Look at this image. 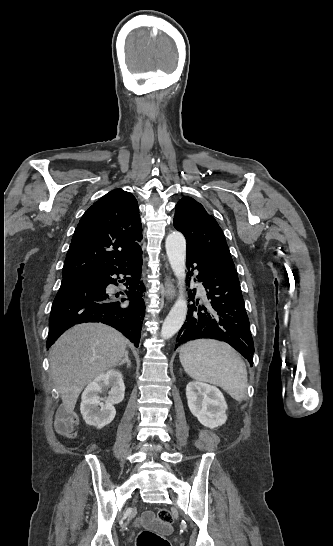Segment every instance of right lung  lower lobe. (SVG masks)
<instances>
[{
	"label": "right lung lower lobe",
	"mask_w": 333,
	"mask_h": 546,
	"mask_svg": "<svg viewBox=\"0 0 333 546\" xmlns=\"http://www.w3.org/2000/svg\"><path fill=\"white\" fill-rule=\"evenodd\" d=\"M141 267L142 253L121 267L62 281L50 312L47 347L68 328L86 322L110 325L138 347L145 315ZM114 274L132 277L118 281ZM118 282H125L128 289L121 293L124 297L120 300L106 289Z\"/></svg>",
	"instance_id": "obj_1"
}]
</instances>
